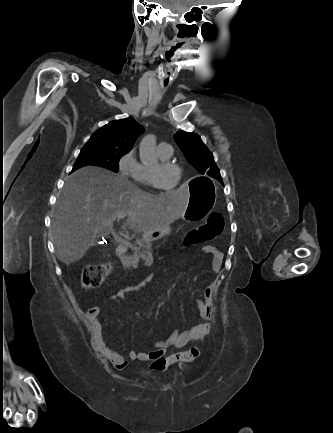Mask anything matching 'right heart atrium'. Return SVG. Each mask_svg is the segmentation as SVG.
<instances>
[{"label": "right heart atrium", "instance_id": "right-heart-atrium-1", "mask_svg": "<svg viewBox=\"0 0 333 433\" xmlns=\"http://www.w3.org/2000/svg\"><path fill=\"white\" fill-rule=\"evenodd\" d=\"M140 169L141 164L137 160L135 149L128 150L119 158L118 170L123 176L137 180Z\"/></svg>", "mask_w": 333, "mask_h": 433}]
</instances>
